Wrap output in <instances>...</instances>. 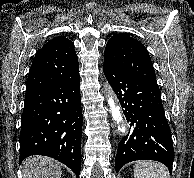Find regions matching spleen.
<instances>
[{"label":"spleen","instance_id":"3e777b00","mask_svg":"<svg viewBox=\"0 0 194 178\" xmlns=\"http://www.w3.org/2000/svg\"><path fill=\"white\" fill-rule=\"evenodd\" d=\"M135 178H170L164 165L155 161H138L134 165Z\"/></svg>","mask_w":194,"mask_h":178}]
</instances>
